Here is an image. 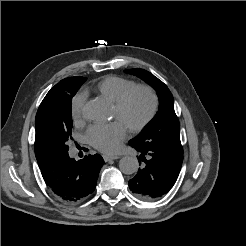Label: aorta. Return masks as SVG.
Instances as JSON below:
<instances>
[{"label":"aorta","instance_id":"obj_1","mask_svg":"<svg viewBox=\"0 0 246 246\" xmlns=\"http://www.w3.org/2000/svg\"><path fill=\"white\" fill-rule=\"evenodd\" d=\"M84 116L90 120H101L106 116V107L97 100H91L84 107ZM119 169L124 174H133L138 170V160L125 156L119 162Z\"/></svg>","mask_w":246,"mask_h":246}]
</instances>
